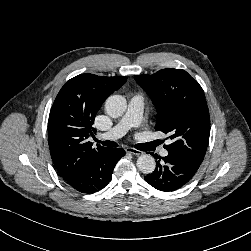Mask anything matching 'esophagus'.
<instances>
[{"instance_id": "obj_1", "label": "esophagus", "mask_w": 251, "mask_h": 251, "mask_svg": "<svg viewBox=\"0 0 251 251\" xmlns=\"http://www.w3.org/2000/svg\"><path fill=\"white\" fill-rule=\"evenodd\" d=\"M126 152H127V153H130V154H133V155H136V156H140V155L143 154L142 151L137 150V149H134V148H131V147H127V148H126Z\"/></svg>"}]
</instances>
